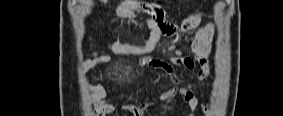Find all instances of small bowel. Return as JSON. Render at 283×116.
Here are the masks:
<instances>
[{
    "instance_id": "obj_1",
    "label": "small bowel",
    "mask_w": 283,
    "mask_h": 116,
    "mask_svg": "<svg viewBox=\"0 0 283 116\" xmlns=\"http://www.w3.org/2000/svg\"><path fill=\"white\" fill-rule=\"evenodd\" d=\"M108 2V1H103ZM136 1L123 0L116 6L117 14L127 20L135 21L145 26L149 30V38L143 45H130L118 42H106V48L116 54H129L142 56L155 48L161 37L170 35L174 41H183L185 37L199 25L200 15L195 14L186 19L181 28H176L165 21L164 11L156 6H149L146 11L152 17L143 16L136 8ZM214 35V25L212 22L205 24L197 29L190 48L194 57L177 55L170 62L163 60H155L150 57H142L140 64L145 68H156L163 71L174 85L173 88L160 93L156 102H166L181 96L185 107L189 110V115L192 116L195 109L198 107L199 100L195 92L189 88L180 85V77L175 72L172 64L181 65L189 70H192L199 79L203 80L210 74V66L208 56L211 51L212 40ZM169 49L174 48V44L168 45ZM111 57L106 52H94L82 64V71L86 72L94 68L96 65L110 62ZM92 101L98 109V114L109 113L113 110V106L105 104L103 99L106 95L104 88L101 85H93L90 87ZM154 103H146L140 108L130 107V110L135 116H142L150 109Z\"/></svg>"
}]
</instances>
